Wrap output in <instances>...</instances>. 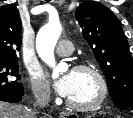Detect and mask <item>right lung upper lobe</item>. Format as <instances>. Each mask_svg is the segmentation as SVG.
I'll return each instance as SVG.
<instances>
[{"label":"right lung upper lobe","instance_id":"obj_1","mask_svg":"<svg viewBox=\"0 0 133 118\" xmlns=\"http://www.w3.org/2000/svg\"><path fill=\"white\" fill-rule=\"evenodd\" d=\"M22 24L17 7H0V60L18 61Z\"/></svg>","mask_w":133,"mask_h":118}]
</instances>
